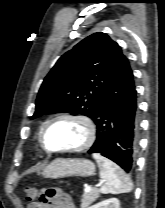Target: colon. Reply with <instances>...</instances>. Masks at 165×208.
<instances>
[{"instance_id": "colon-1", "label": "colon", "mask_w": 165, "mask_h": 208, "mask_svg": "<svg viewBox=\"0 0 165 208\" xmlns=\"http://www.w3.org/2000/svg\"><path fill=\"white\" fill-rule=\"evenodd\" d=\"M25 192L26 199L30 202H35V199L39 196V190L36 187H27Z\"/></svg>"}]
</instances>
